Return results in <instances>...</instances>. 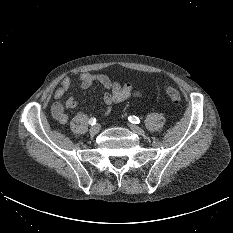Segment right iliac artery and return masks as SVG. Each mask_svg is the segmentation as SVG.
I'll return each mask as SVG.
<instances>
[{
  "label": "right iliac artery",
  "mask_w": 233,
  "mask_h": 233,
  "mask_svg": "<svg viewBox=\"0 0 233 233\" xmlns=\"http://www.w3.org/2000/svg\"><path fill=\"white\" fill-rule=\"evenodd\" d=\"M88 122H89L90 125H95L96 119L95 118H90Z\"/></svg>",
  "instance_id": "obj_1"
}]
</instances>
